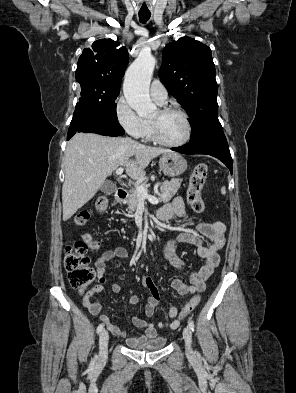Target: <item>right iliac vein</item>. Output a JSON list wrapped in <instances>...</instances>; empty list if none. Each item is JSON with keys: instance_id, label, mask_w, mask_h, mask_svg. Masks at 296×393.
Listing matches in <instances>:
<instances>
[{"instance_id": "63e3f726", "label": "right iliac vein", "mask_w": 296, "mask_h": 393, "mask_svg": "<svg viewBox=\"0 0 296 393\" xmlns=\"http://www.w3.org/2000/svg\"><path fill=\"white\" fill-rule=\"evenodd\" d=\"M109 334L107 330H103L99 336V360L107 357Z\"/></svg>"}]
</instances>
